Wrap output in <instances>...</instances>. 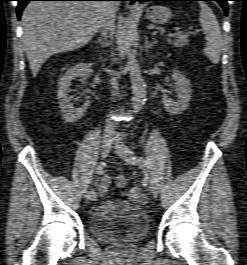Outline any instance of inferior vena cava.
Returning a JSON list of instances; mask_svg holds the SVG:
<instances>
[{"mask_svg": "<svg viewBox=\"0 0 247 265\" xmlns=\"http://www.w3.org/2000/svg\"><path fill=\"white\" fill-rule=\"evenodd\" d=\"M118 8V2L115 1H104L102 2V12L100 14L99 18V29L101 31V35L107 39L108 32L111 31L110 26L112 23V18L114 17V14ZM110 44V43H109ZM108 45V44H107ZM110 84L113 91V96L118 95V82L115 77L110 79ZM114 123L111 122L109 119L107 120L106 126H105V132L107 134H113L114 133Z\"/></svg>", "mask_w": 247, "mask_h": 265, "instance_id": "1", "label": "inferior vena cava"}]
</instances>
